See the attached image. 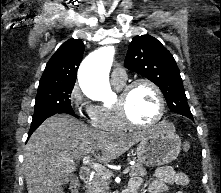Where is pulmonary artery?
<instances>
[{
    "instance_id": "pulmonary-artery-1",
    "label": "pulmonary artery",
    "mask_w": 221,
    "mask_h": 193,
    "mask_svg": "<svg viewBox=\"0 0 221 193\" xmlns=\"http://www.w3.org/2000/svg\"><path fill=\"white\" fill-rule=\"evenodd\" d=\"M127 79V73L124 68L117 67L111 73V82L116 84H123Z\"/></svg>"
}]
</instances>
